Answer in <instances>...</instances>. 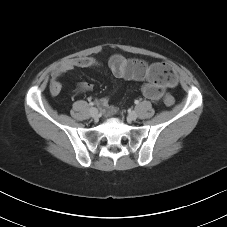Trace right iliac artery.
<instances>
[{"mask_svg": "<svg viewBox=\"0 0 227 227\" xmlns=\"http://www.w3.org/2000/svg\"><path fill=\"white\" fill-rule=\"evenodd\" d=\"M90 105H91V106H93V105H94V103H93V102H91V103H90ZM92 108H93V107H92Z\"/></svg>", "mask_w": 227, "mask_h": 227, "instance_id": "1", "label": "right iliac artery"}]
</instances>
